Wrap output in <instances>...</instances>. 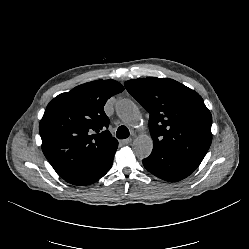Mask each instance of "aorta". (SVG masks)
<instances>
[{
	"label": "aorta",
	"instance_id": "obj_1",
	"mask_svg": "<svg viewBox=\"0 0 249 249\" xmlns=\"http://www.w3.org/2000/svg\"><path fill=\"white\" fill-rule=\"evenodd\" d=\"M116 113L119 118L131 127H138L142 121L137 105L130 99H120L116 103ZM133 152L139 159L147 158L153 149V140L150 136L139 135L133 141Z\"/></svg>",
	"mask_w": 249,
	"mask_h": 249
}]
</instances>
